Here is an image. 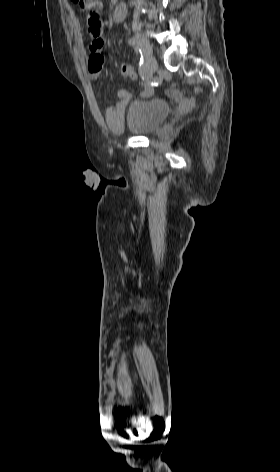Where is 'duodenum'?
<instances>
[{"label":"duodenum","mask_w":280,"mask_h":472,"mask_svg":"<svg viewBox=\"0 0 280 472\" xmlns=\"http://www.w3.org/2000/svg\"><path fill=\"white\" fill-rule=\"evenodd\" d=\"M127 15V9L125 5H118L115 7L112 18L115 23L122 22Z\"/></svg>","instance_id":"duodenum-1"}]
</instances>
